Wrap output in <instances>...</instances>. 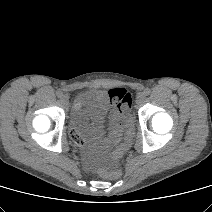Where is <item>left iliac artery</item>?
Masks as SVG:
<instances>
[{
	"mask_svg": "<svg viewBox=\"0 0 212 212\" xmlns=\"http://www.w3.org/2000/svg\"><path fill=\"white\" fill-rule=\"evenodd\" d=\"M151 93V90L149 88L144 89V94L149 95Z\"/></svg>",
	"mask_w": 212,
	"mask_h": 212,
	"instance_id": "44dca946",
	"label": "left iliac artery"
}]
</instances>
